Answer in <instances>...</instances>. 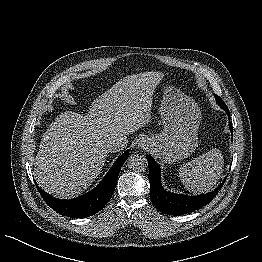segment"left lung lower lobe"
Returning a JSON list of instances; mask_svg holds the SVG:
<instances>
[{"mask_svg": "<svg viewBox=\"0 0 262 262\" xmlns=\"http://www.w3.org/2000/svg\"><path fill=\"white\" fill-rule=\"evenodd\" d=\"M220 106V105H219ZM221 107V106H220ZM230 119L228 107H221ZM229 129L233 133V127L229 123ZM149 164L150 197L154 206L162 213L168 215H183L193 212L207 205L217 195L225 180L212 192L199 196H185L170 193L161 185L160 166L154 161L152 156H146Z\"/></svg>", "mask_w": 262, "mask_h": 262, "instance_id": "0a47b994", "label": "left lung lower lobe"}]
</instances>
